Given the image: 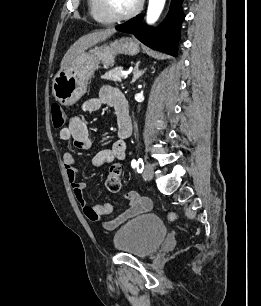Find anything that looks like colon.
<instances>
[{
  "mask_svg": "<svg viewBox=\"0 0 261 306\" xmlns=\"http://www.w3.org/2000/svg\"><path fill=\"white\" fill-rule=\"evenodd\" d=\"M51 117L55 128H61L65 124L66 114L64 109L59 104H53L51 106ZM106 187L110 192L116 193L121 187V167L118 164H114L110 167L106 178ZM177 215L170 214L171 220H177Z\"/></svg>",
  "mask_w": 261,
  "mask_h": 306,
  "instance_id": "1",
  "label": "colon"
}]
</instances>
